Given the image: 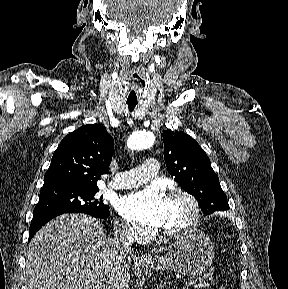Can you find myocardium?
Here are the masks:
<instances>
[{"mask_svg": "<svg viewBox=\"0 0 288 289\" xmlns=\"http://www.w3.org/2000/svg\"><path fill=\"white\" fill-rule=\"evenodd\" d=\"M167 199L168 200L178 199L185 201L190 209V218L188 224L185 227L178 230H170V231L162 230V233L166 237L172 239H179L193 234L198 228L201 216V208L197 198L189 192L183 190H175L171 191L167 195Z\"/></svg>", "mask_w": 288, "mask_h": 289, "instance_id": "f54148a6", "label": "myocardium"}]
</instances>
